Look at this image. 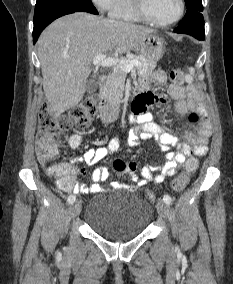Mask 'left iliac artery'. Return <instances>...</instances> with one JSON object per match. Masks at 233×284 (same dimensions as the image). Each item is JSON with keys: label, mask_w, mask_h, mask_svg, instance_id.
<instances>
[{"label": "left iliac artery", "mask_w": 233, "mask_h": 284, "mask_svg": "<svg viewBox=\"0 0 233 284\" xmlns=\"http://www.w3.org/2000/svg\"><path fill=\"white\" fill-rule=\"evenodd\" d=\"M163 200L166 204H171L172 203V199L169 195H164Z\"/></svg>", "instance_id": "44dca946"}]
</instances>
